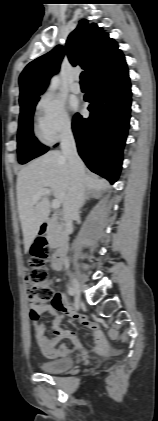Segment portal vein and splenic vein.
I'll list each match as a JSON object with an SVG mask.
<instances>
[{
    "mask_svg": "<svg viewBox=\"0 0 158 421\" xmlns=\"http://www.w3.org/2000/svg\"><path fill=\"white\" fill-rule=\"evenodd\" d=\"M51 194V191L49 190V189H42V190H40L36 195H35V197L33 198V203L35 204V203H37L38 201H39V199H40V197L41 196H44V195H50ZM52 207L54 208V209H58L59 207H60V202L57 200V199H54L53 201H52Z\"/></svg>",
    "mask_w": 158,
    "mask_h": 421,
    "instance_id": "portal-vein-and-splenic-vein-1",
    "label": "portal vein and splenic vein"
}]
</instances>
